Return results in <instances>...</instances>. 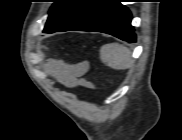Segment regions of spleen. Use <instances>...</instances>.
<instances>
[{"label":"spleen","mask_w":182,"mask_h":140,"mask_svg":"<svg viewBox=\"0 0 182 140\" xmlns=\"http://www.w3.org/2000/svg\"><path fill=\"white\" fill-rule=\"evenodd\" d=\"M100 57L104 63L116 70L127 69L133 63L131 51L118 43H110L102 46Z\"/></svg>","instance_id":"1"}]
</instances>
